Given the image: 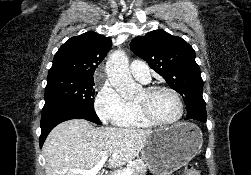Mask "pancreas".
Instances as JSON below:
<instances>
[{"mask_svg": "<svg viewBox=\"0 0 251 175\" xmlns=\"http://www.w3.org/2000/svg\"><path fill=\"white\" fill-rule=\"evenodd\" d=\"M129 165L134 169L132 175H145L147 171V165H145L143 159H134ZM124 169H126V167H124Z\"/></svg>", "mask_w": 251, "mask_h": 175, "instance_id": "1", "label": "pancreas"}]
</instances>
